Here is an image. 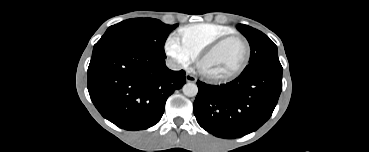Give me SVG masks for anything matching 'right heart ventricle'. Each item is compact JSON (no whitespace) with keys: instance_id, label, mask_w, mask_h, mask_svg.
<instances>
[{"instance_id":"right-heart-ventricle-1","label":"right heart ventricle","mask_w":369,"mask_h":152,"mask_svg":"<svg viewBox=\"0 0 369 152\" xmlns=\"http://www.w3.org/2000/svg\"><path fill=\"white\" fill-rule=\"evenodd\" d=\"M233 33L235 31L231 27L216 23H196L179 30L181 40L196 56L218 38Z\"/></svg>"}]
</instances>
